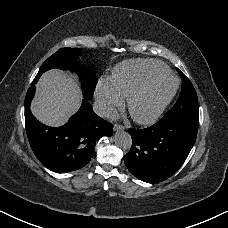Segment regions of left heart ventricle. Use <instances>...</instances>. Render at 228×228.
I'll return each instance as SVG.
<instances>
[{
	"instance_id": "left-heart-ventricle-1",
	"label": "left heart ventricle",
	"mask_w": 228,
	"mask_h": 228,
	"mask_svg": "<svg viewBox=\"0 0 228 228\" xmlns=\"http://www.w3.org/2000/svg\"><path fill=\"white\" fill-rule=\"evenodd\" d=\"M172 88L173 82L169 81L163 83L161 87H155V91H146L134 102V113L140 117H148L171 92Z\"/></svg>"
}]
</instances>
